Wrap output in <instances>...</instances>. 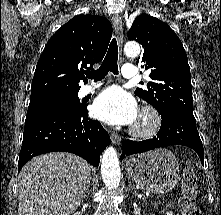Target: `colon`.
<instances>
[{"instance_id":"1","label":"colon","mask_w":221,"mask_h":215,"mask_svg":"<svg viewBox=\"0 0 221 215\" xmlns=\"http://www.w3.org/2000/svg\"><path fill=\"white\" fill-rule=\"evenodd\" d=\"M195 198L196 177L192 169L186 165L183 169L182 196L180 198L182 215H199V211L195 205Z\"/></svg>"}]
</instances>
